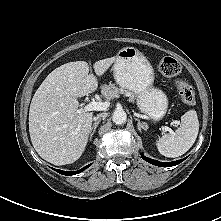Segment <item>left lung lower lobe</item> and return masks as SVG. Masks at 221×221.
<instances>
[{"mask_svg": "<svg viewBox=\"0 0 221 221\" xmlns=\"http://www.w3.org/2000/svg\"><path fill=\"white\" fill-rule=\"evenodd\" d=\"M142 158L144 160H146L147 162L153 164V165H156V166H161V167H170V166H175V165H178L179 163H181L182 161L185 160L184 159H181V160H177V161H173V162H160V161H156V160H153V159H150V158H147L145 157L143 154L141 155Z\"/></svg>", "mask_w": 221, "mask_h": 221, "instance_id": "1", "label": "left lung lower lobe"}]
</instances>
